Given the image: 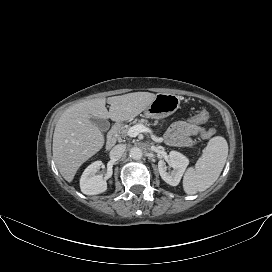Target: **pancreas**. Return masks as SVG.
I'll use <instances>...</instances> for the list:
<instances>
[{"label":"pancreas","mask_w":272,"mask_h":272,"mask_svg":"<svg viewBox=\"0 0 272 272\" xmlns=\"http://www.w3.org/2000/svg\"><path fill=\"white\" fill-rule=\"evenodd\" d=\"M136 125H149V123H148V121L146 119H141L136 123ZM129 129H130V126H128V125L122 126L119 129V135L121 137L127 136Z\"/></svg>","instance_id":"pancreas-1"}]
</instances>
